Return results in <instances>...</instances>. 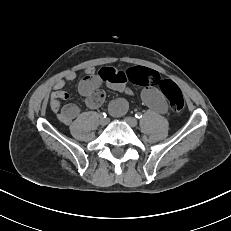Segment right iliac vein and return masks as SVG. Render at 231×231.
I'll return each mask as SVG.
<instances>
[{
  "mask_svg": "<svg viewBox=\"0 0 231 231\" xmlns=\"http://www.w3.org/2000/svg\"><path fill=\"white\" fill-rule=\"evenodd\" d=\"M99 122H100V124H101L102 126H105V125H107V123H108V119H107V118L101 117L100 120H99Z\"/></svg>",
  "mask_w": 231,
  "mask_h": 231,
  "instance_id": "right-iliac-vein-1",
  "label": "right iliac vein"
}]
</instances>
